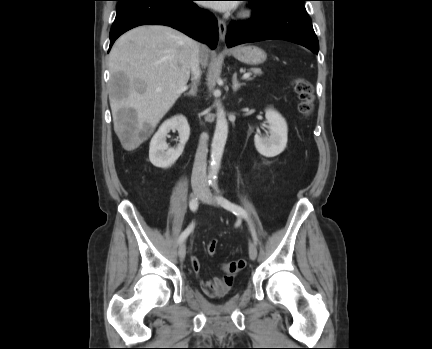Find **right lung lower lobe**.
Segmentation results:
<instances>
[{
	"instance_id": "98d812e1",
	"label": "right lung lower lobe",
	"mask_w": 432,
	"mask_h": 349,
	"mask_svg": "<svg viewBox=\"0 0 432 349\" xmlns=\"http://www.w3.org/2000/svg\"><path fill=\"white\" fill-rule=\"evenodd\" d=\"M110 31V46L124 32L140 25H166L215 48L217 20L199 8L194 0H118Z\"/></svg>"
}]
</instances>
